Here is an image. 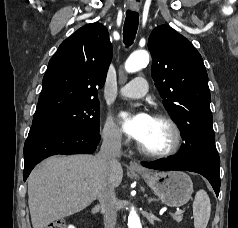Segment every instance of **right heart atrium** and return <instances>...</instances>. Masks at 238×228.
Listing matches in <instances>:
<instances>
[{"mask_svg":"<svg viewBox=\"0 0 238 228\" xmlns=\"http://www.w3.org/2000/svg\"><path fill=\"white\" fill-rule=\"evenodd\" d=\"M101 136L103 141L110 146L120 147L124 142L119 127L116 125L115 121L110 116L107 117L104 123Z\"/></svg>","mask_w":238,"mask_h":228,"instance_id":"d8ad5b80","label":"right heart atrium"}]
</instances>
